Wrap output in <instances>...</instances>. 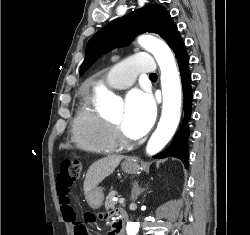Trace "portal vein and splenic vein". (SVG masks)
<instances>
[{
	"mask_svg": "<svg viewBox=\"0 0 250 235\" xmlns=\"http://www.w3.org/2000/svg\"><path fill=\"white\" fill-rule=\"evenodd\" d=\"M116 201H117V199H116ZM124 201H125V199H124V198H120V199H119V203H120V204H123V203H124Z\"/></svg>",
	"mask_w": 250,
	"mask_h": 235,
	"instance_id": "portal-vein-and-splenic-vein-1",
	"label": "portal vein and splenic vein"
}]
</instances>
